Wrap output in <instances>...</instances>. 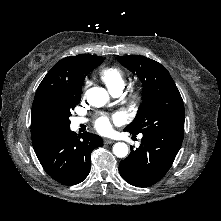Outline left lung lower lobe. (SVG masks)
<instances>
[{
	"instance_id": "1",
	"label": "left lung lower lobe",
	"mask_w": 221,
	"mask_h": 221,
	"mask_svg": "<svg viewBox=\"0 0 221 221\" xmlns=\"http://www.w3.org/2000/svg\"><path fill=\"white\" fill-rule=\"evenodd\" d=\"M182 141L143 134L139 148H132L129 156L119 163L120 175L126 182L137 187L157 183L170 169Z\"/></svg>"
}]
</instances>
